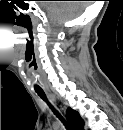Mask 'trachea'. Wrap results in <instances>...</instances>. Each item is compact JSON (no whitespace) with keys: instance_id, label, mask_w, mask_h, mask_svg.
I'll return each instance as SVG.
<instances>
[{"instance_id":"obj_1","label":"trachea","mask_w":123,"mask_h":130,"mask_svg":"<svg viewBox=\"0 0 123 130\" xmlns=\"http://www.w3.org/2000/svg\"><path fill=\"white\" fill-rule=\"evenodd\" d=\"M38 96L40 98H42L44 101H46L48 103V105L53 109L54 113L56 114L57 117H59V119L63 122V124L65 125V127L67 128V123L66 121L63 119V117L56 111L54 110V108L51 106V104L48 102L46 95L44 92H37Z\"/></svg>"}]
</instances>
